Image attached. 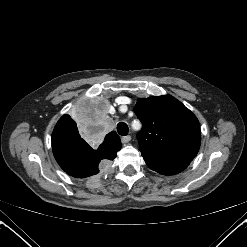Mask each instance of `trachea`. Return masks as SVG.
I'll use <instances>...</instances> for the list:
<instances>
[{
  "label": "trachea",
  "instance_id": "obj_1",
  "mask_svg": "<svg viewBox=\"0 0 247 247\" xmlns=\"http://www.w3.org/2000/svg\"><path fill=\"white\" fill-rule=\"evenodd\" d=\"M129 128L128 125L124 122H120L117 124V132L121 136H126L128 134Z\"/></svg>",
  "mask_w": 247,
  "mask_h": 247
}]
</instances>
